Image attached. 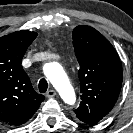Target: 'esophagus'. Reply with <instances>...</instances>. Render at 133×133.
Returning <instances> with one entry per match:
<instances>
[{
    "label": "esophagus",
    "instance_id": "34e87169",
    "mask_svg": "<svg viewBox=\"0 0 133 133\" xmlns=\"http://www.w3.org/2000/svg\"><path fill=\"white\" fill-rule=\"evenodd\" d=\"M56 95V91L55 90H49V91H47V93H46V96L47 97H49V98H52V97H54Z\"/></svg>",
    "mask_w": 133,
    "mask_h": 133
}]
</instances>
